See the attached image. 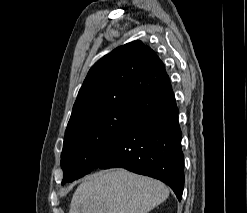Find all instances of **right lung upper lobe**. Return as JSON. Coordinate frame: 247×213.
<instances>
[{
    "label": "right lung upper lobe",
    "instance_id": "obj_1",
    "mask_svg": "<svg viewBox=\"0 0 247 213\" xmlns=\"http://www.w3.org/2000/svg\"><path fill=\"white\" fill-rule=\"evenodd\" d=\"M169 83L164 64L141 41L114 49L89 70L79 90L66 131L120 102Z\"/></svg>",
    "mask_w": 247,
    "mask_h": 213
}]
</instances>
